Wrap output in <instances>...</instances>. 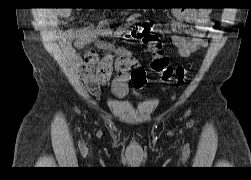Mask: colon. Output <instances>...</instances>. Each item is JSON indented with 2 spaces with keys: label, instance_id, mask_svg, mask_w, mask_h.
Listing matches in <instances>:
<instances>
[{
  "label": "colon",
  "instance_id": "colon-1",
  "mask_svg": "<svg viewBox=\"0 0 251 180\" xmlns=\"http://www.w3.org/2000/svg\"><path fill=\"white\" fill-rule=\"evenodd\" d=\"M135 40L144 44L152 55L151 68L160 74L161 78L167 82L182 84L189 72L188 66L173 67L162 51V44L158 36L153 33L147 26L135 24L129 34Z\"/></svg>",
  "mask_w": 251,
  "mask_h": 180
}]
</instances>
